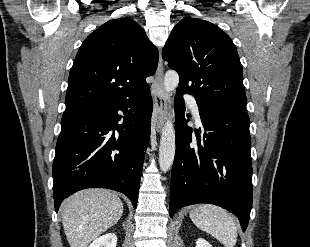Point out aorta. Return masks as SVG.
I'll return each mask as SVG.
<instances>
[{
    "label": "aorta",
    "instance_id": "obj_1",
    "mask_svg": "<svg viewBox=\"0 0 310 247\" xmlns=\"http://www.w3.org/2000/svg\"><path fill=\"white\" fill-rule=\"evenodd\" d=\"M179 83V75L175 71H167L164 77V92L169 99L171 93L176 89ZM175 130L171 118L167 119L162 129L159 147V166L160 170L166 173L170 170L175 156Z\"/></svg>",
    "mask_w": 310,
    "mask_h": 247
}]
</instances>
